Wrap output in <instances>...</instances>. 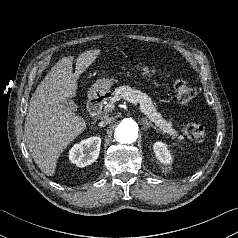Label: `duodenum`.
Here are the masks:
<instances>
[{
	"label": "duodenum",
	"mask_w": 238,
	"mask_h": 238,
	"mask_svg": "<svg viewBox=\"0 0 238 238\" xmlns=\"http://www.w3.org/2000/svg\"><path fill=\"white\" fill-rule=\"evenodd\" d=\"M104 101V95L93 94L88 101V110L92 115L99 114Z\"/></svg>",
	"instance_id": "1"
}]
</instances>
